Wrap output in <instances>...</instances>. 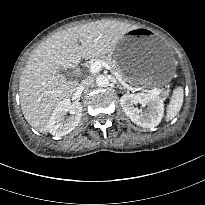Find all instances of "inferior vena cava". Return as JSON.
Listing matches in <instances>:
<instances>
[{
	"label": "inferior vena cava",
	"instance_id": "obj_1",
	"mask_svg": "<svg viewBox=\"0 0 205 205\" xmlns=\"http://www.w3.org/2000/svg\"><path fill=\"white\" fill-rule=\"evenodd\" d=\"M93 85V79L87 78L82 81V83L78 87V91L82 92L83 90L91 87Z\"/></svg>",
	"mask_w": 205,
	"mask_h": 205
}]
</instances>
